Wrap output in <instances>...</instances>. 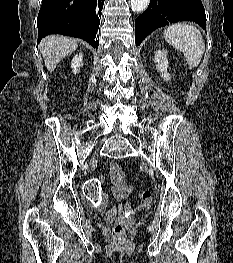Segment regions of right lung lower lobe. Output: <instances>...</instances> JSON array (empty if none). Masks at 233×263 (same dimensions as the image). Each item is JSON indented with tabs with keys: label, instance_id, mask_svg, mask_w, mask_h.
Wrapping results in <instances>:
<instances>
[{
	"label": "right lung lower lobe",
	"instance_id": "98d812e1",
	"mask_svg": "<svg viewBox=\"0 0 233 263\" xmlns=\"http://www.w3.org/2000/svg\"><path fill=\"white\" fill-rule=\"evenodd\" d=\"M104 0H42L38 14V43L50 34L82 38L95 49L99 45Z\"/></svg>",
	"mask_w": 233,
	"mask_h": 263
}]
</instances>
